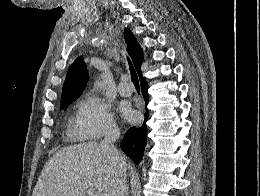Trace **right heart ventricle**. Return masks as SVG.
Returning a JSON list of instances; mask_svg holds the SVG:
<instances>
[{
  "label": "right heart ventricle",
  "instance_id": "e07e8e85",
  "mask_svg": "<svg viewBox=\"0 0 260 196\" xmlns=\"http://www.w3.org/2000/svg\"><path fill=\"white\" fill-rule=\"evenodd\" d=\"M66 192H81V190H66Z\"/></svg>",
  "mask_w": 260,
  "mask_h": 196
}]
</instances>
